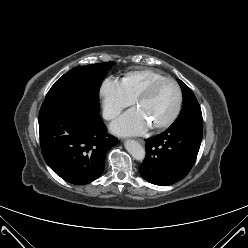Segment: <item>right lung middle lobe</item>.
<instances>
[{
	"mask_svg": "<svg viewBox=\"0 0 248 248\" xmlns=\"http://www.w3.org/2000/svg\"><path fill=\"white\" fill-rule=\"evenodd\" d=\"M114 62L78 66L61 76L51 87L39 116L64 107L82 96L99 100L101 82Z\"/></svg>",
	"mask_w": 248,
	"mask_h": 248,
	"instance_id": "dd1d6c3e",
	"label": "right lung middle lobe"
}]
</instances>
